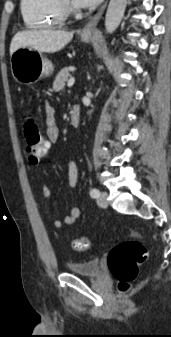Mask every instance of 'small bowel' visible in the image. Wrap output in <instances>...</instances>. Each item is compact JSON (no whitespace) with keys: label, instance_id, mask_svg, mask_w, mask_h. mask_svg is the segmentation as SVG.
Instances as JSON below:
<instances>
[{"label":"small bowel","instance_id":"obj_1","mask_svg":"<svg viewBox=\"0 0 171 337\" xmlns=\"http://www.w3.org/2000/svg\"><path fill=\"white\" fill-rule=\"evenodd\" d=\"M45 123H46V137L49 144L55 143L59 139L60 130L55 121V109L52 105L48 104L45 108ZM68 182L71 187H75L78 183V165L75 160H70L67 165ZM42 194L45 198L51 195L50 189L44 185L42 187ZM80 216V209L77 207L71 208L69 213L65 216L64 222L55 220L53 225L56 229L60 230L64 224H74Z\"/></svg>","mask_w":171,"mask_h":337}]
</instances>
